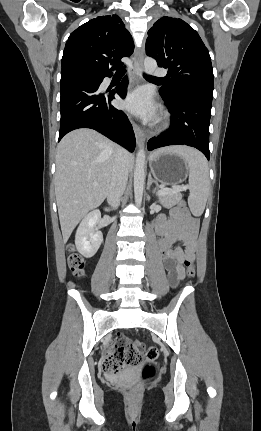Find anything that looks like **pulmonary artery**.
I'll return each mask as SVG.
<instances>
[{
  "label": "pulmonary artery",
  "instance_id": "obj_1",
  "mask_svg": "<svg viewBox=\"0 0 261 431\" xmlns=\"http://www.w3.org/2000/svg\"><path fill=\"white\" fill-rule=\"evenodd\" d=\"M156 77L165 78L167 76V71L163 68H158L154 72Z\"/></svg>",
  "mask_w": 261,
  "mask_h": 431
}]
</instances>
